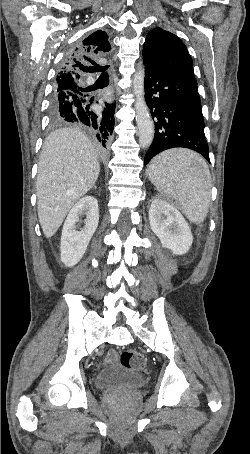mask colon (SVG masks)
Returning <instances> with one entry per match:
<instances>
[{
	"instance_id": "colon-1",
	"label": "colon",
	"mask_w": 250,
	"mask_h": 454,
	"mask_svg": "<svg viewBox=\"0 0 250 454\" xmlns=\"http://www.w3.org/2000/svg\"><path fill=\"white\" fill-rule=\"evenodd\" d=\"M120 363L123 367L140 371L145 365L144 356L133 349H125L120 354Z\"/></svg>"
}]
</instances>
